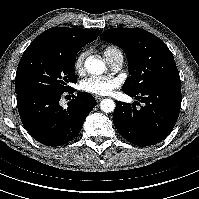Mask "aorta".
Here are the masks:
<instances>
[{
	"label": "aorta",
	"instance_id": "762f6f07",
	"mask_svg": "<svg viewBox=\"0 0 199 199\" xmlns=\"http://www.w3.org/2000/svg\"><path fill=\"white\" fill-rule=\"evenodd\" d=\"M85 69L90 74L101 75L106 70V66L103 61L92 56L86 59ZM100 109L105 113L113 112L115 109V103L111 99H104L100 103Z\"/></svg>",
	"mask_w": 199,
	"mask_h": 199
}]
</instances>
